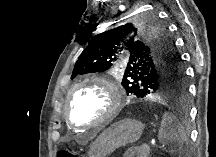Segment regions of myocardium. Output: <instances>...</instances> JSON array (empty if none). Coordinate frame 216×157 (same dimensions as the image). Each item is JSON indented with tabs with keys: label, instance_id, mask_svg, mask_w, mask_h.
Returning <instances> with one entry per match:
<instances>
[{
	"label": "myocardium",
	"instance_id": "f54148a6",
	"mask_svg": "<svg viewBox=\"0 0 216 157\" xmlns=\"http://www.w3.org/2000/svg\"><path fill=\"white\" fill-rule=\"evenodd\" d=\"M87 85H95L106 91L109 96V106L98 119L90 123L81 124L77 123L73 119L70 108L73 93L77 89ZM122 105L123 91L114 81L100 76H91L78 81L68 91L66 100V115L71 126L77 129H87L109 122L119 112Z\"/></svg>",
	"mask_w": 216,
	"mask_h": 157
}]
</instances>
